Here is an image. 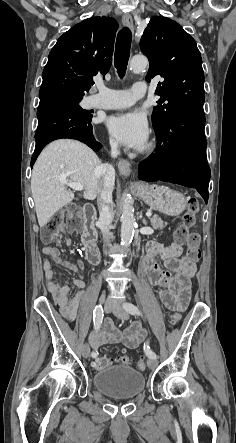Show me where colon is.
Listing matches in <instances>:
<instances>
[{
	"mask_svg": "<svg viewBox=\"0 0 236 443\" xmlns=\"http://www.w3.org/2000/svg\"><path fill=\"white\" fill-rule=\"evenodd\" d=\"M198 212L199 203L197 199L190 198L181 223L174 232L175 242L179 245L187 246V257L192 262H197L201 257L200 236L197 233L190 232V229L195 224ZM81 224L82 215L80 209L77 206H69L64 213L55 216L43 226L41 230V240L44 243H52L62 236L65 226L68 230L76 232L81 228ZM180 319L181 316L179 313L172 314L170 316V325H176ZM114 363L129 364L130 357L126 354L118 357L100 356L94 360L93 366L96 369H103ZM137 367L139 370L144 371L146 368L145 359H140Z\"/></svg>",
	"mask_w": 236,
	"mask_h": 443,
	"instance_id": "1",
	"label": "colon"
}]
</instances>
